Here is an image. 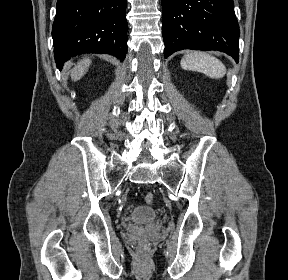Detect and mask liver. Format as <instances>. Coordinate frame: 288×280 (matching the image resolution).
Wrapping results in <instances>:
<instances>
[{"mask_svg": "<svg viewBox=\"0 0 288 280\" xmlns=\"http://www.w3.org/2000/svg\"><path fill=\"white\" fill-rule=\"evenodd\" d=\"M91 61L86 58L83 59L71 72V79L77 81L81 79L90 67Z\"/></svg>", "mask_w": 288, "mask_h": 280, "instance_id": "1", "label": "liver"}]
</instances>
